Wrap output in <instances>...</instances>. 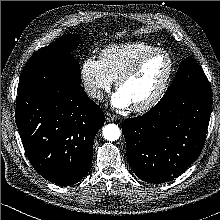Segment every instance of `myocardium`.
<instances>
[{
	"instance_id": "obj_1",
	"label": "myocardium",
	"mask_w": 220,
	"mask_h": 220,
	"mask_svg": "<svg viewBox=\"0 0 220 220\" xmlns=\"http://www.w3.org/2000/svg\"><path fill=\"white\" fill-rule=\"evenodd\" d=\"M156 54H163V55L167 56V58L169 59L170 66H169L168 73H167L162 85L159 87V89L155 92V94L151 98L147 99L143 103L132 106L133 110L136 112L147 111V110L153 108L154 106H156L162 100V98L164 97L165 93L167 92V90L169 88V85L172 81V78H173V75L175 72L174 58L165 49L155 48V49L148 51V52L144 53L143 55H141L131 66H129L125 71H123L116 79V87H117V89H119L120 85L124 81L133 77L140 70L141 66L143 65V63L147 59H149L150 57H152Z\"/></svg>"
}]
</instances>
